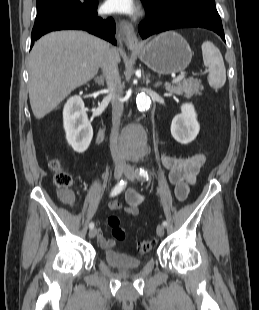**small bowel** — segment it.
I'll list each match as a JSON object with an SVG mask.
<instances>
[{"label":"small bowel","instance_id":"1","mask_svg":"<svg viewBox=\"0 0 259 310\" xmlns=\"http://www.w3.org/2000/svg\"><path fill=\"white\" fill-rule=\"evenodd\" d=\"M204 160L205 157L201 153L189 157L162 155V163L169 171V182L174 186L175 196L179 201L186 200ZM125 200L127 203L124 208L125 213L131 216L138 215L140 206L143 204V196L134 189L128 188L125 191ZM107 207L110 210H120L123 204L120 200H112ZM97 240L104 249H112L115 246V241L106 238L100 229L97 230Z\"/></svg>","mask_w":259,"mask_h":310}]
</instances>
